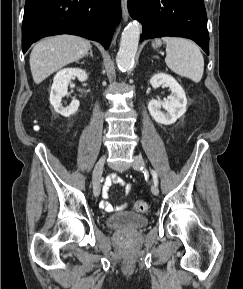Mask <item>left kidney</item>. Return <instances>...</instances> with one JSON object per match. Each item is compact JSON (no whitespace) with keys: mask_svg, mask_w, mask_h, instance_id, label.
<instances>
[{"mask_svg":"<svg viewBox=\"0 0 243 289\" xmlns=\"http://www.w3.org/2000/svg\"><path fill=\"white\" fill-rule=\"evenodd\" d=\"M151 86L156 89L168 86L172 92L169 100L161 101L152 99L148 103V110L152 118L160 124L171 125L186 112L187 99L183 88L170 75L158 73L150 79ZM163 107L167 113L160 109Z\"/></svg>","mask_w":243,"mask_h":289,"instance_id":"left-kidney-1","label":"left kidney"}]
</instances>
